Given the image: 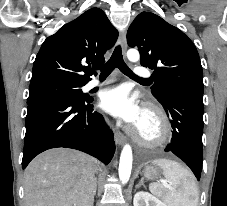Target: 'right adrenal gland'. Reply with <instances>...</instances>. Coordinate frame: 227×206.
I'll return each mask as SVG.
<instances>
[{"mask_svg": "<svg viewBox=\"0 0 227 206\" xmlns=\"http://www.w3.org/2000/svg\"><path fill=\"white\" fill-rule=\"evenodd\" d=\"M96 189H97V182L95 181V187H94L93 197H94V195H96Z\"/></svg>", "mask_w": 227, "mask_h": 206, "instance_id": "2a0ac1e0", "label": "right adrenal gland"}]
</instances>
